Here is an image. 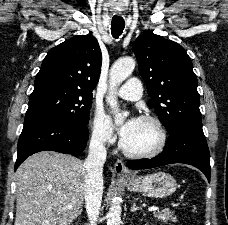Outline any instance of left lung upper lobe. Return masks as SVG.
I'll list each match as a JSON object with an SVG mask.
<instances>
[{"mask_svg":"<svg viewBox=\"0 0 228 225\" xmlns=\"http://www.w3.org/2000/svg\"><path fill=\"white\" fill-rule=\"evenodd\" d=\"M133 51L151 97L148 105L167 131L202 128L197 78L185 49L147 30L133 43Z\"/></svg>","mask_w":228,"mask_h":225,"instance_id":"left-lung-upper-lobe-1","label":"left lung upper lobe"}]
</instances>
